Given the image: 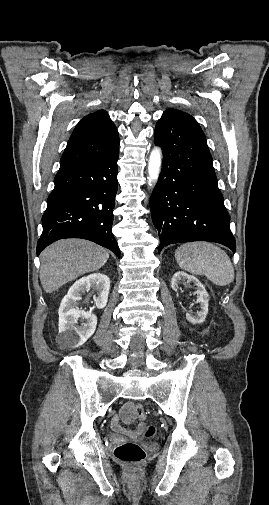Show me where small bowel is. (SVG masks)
<instances>
[{
	"label": "small bowel",
	"instance_id": "c3829d8e",
	"mask_svg": "<svg viewBox=\"0 0 269 505\" xmlns=\"http://www.w3.org/2000/svg\"><path fill=\"white\" fill-rule=\"evenodd\" d=\"M134 409L135 406L132 402H126L121 408L120 417L114 416L112 418L111 425L116 432L131 437L136 436L140 432L141 428L143 427V423L140 424L139 428L136 430H129L125 428L121 423V420H123L125 423H130L134 419Z\"/></svg>",
	"mask_w": 269,
	"mask_h": 505
}]
</instances>
